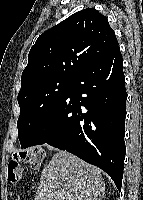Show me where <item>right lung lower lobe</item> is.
I'll return each instance as SVG.
<instances>
[{
  "instance_id": "obj_1",
  "label": "right lung lower lobe",
  "mask_w": 143,
  "mask_h": 200,
  "mask_svg": "<svg viewBox=\"0 0 143 200\" xmlns=\"http://www.w3.org/2000/svg\"><path fill=\"white\" fill-rule=\"evenodd\" d=\"M126 99L118 47L72 79L26 146L47 143L67 150L104 170L120 191L126 154Z\"/></svg>"
}]
</instances>
